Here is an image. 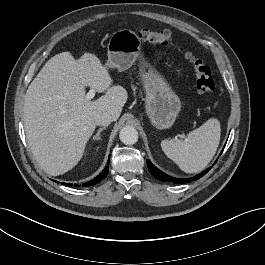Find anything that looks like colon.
Wrapping results in <instances>:
<instances>
[{"instance_id": "1", "label": "colon", "mask_w": 265, "mask_h": 265, "mask_svg": "<svg viewBox=\"0 0 265 265\" xmlns=\"http://www.w3.org/2000/svg\"><path fill=\"white\" fill-rule=\"evenodd\" d=\"M139 38L151 44L174 45L176 43L174 34L170 30L154 31L143 29L139 32ZM178 49L193 66L198 92L206 99H212L215 95V83L207 62L182 46H179Z\"/></svg>"}]
</instances>
